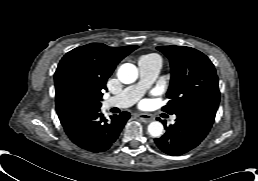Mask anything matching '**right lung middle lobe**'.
<instances>
[{
    "instance_id": "dd1d6c3e",
    "label": "right lung middle lobe",
    "mask_w": 258,
    "mask_h": 181,
    "mask_svg": "<svg viewBox=\"0 0 258 181\" xmlns=\"http://www.w3.org/2000/svg\"><path fill=\"white\" fill-rule=\"evenodd\" d=\"M101 98L72 78H67L56 94L57 113L71 109L100 108Z\"/></svg>"
}]
</instances>
